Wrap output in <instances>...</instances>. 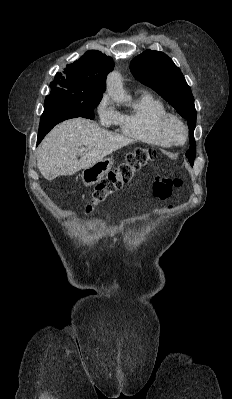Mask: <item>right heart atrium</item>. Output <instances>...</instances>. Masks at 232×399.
<instances>
[{"label": "right heart atrium", "instance_id": "obj_1", "mask_svg": "<svg viewBox=\"0 0 232 399\" xmlns=\"http://www.w3.org/2000/svg\"><path fill=\"white\" fill-rule=\"evenodd\" d=\"M97 115L99 123L104 127H109L117 123L119 119L118 112L109 105L107 100H103L102 103L97 106Z\"/></svg>", "mask_w": 232, "mask_h": 399}]
</instances>
